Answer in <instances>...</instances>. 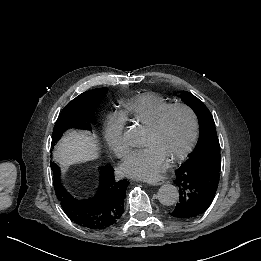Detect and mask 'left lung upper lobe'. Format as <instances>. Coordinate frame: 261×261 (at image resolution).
<instances>
[{
  "label": "left lung upper lobe",
  "mask_w": 261,
  "mask_h": 261,
  "mask_svg": "<svg viewBox=\"0 0 261 261\" xmlns=\"http://www.w3.org/2000/svg\"><path fill=\"white\" fill-rule=\"evenodd\" d=\"M180 97L194 110L200 125L198 143L194 151L188 155L183 166H212L220 169V145L213 116L208 108L193 94L182 91Z\"/></svg>",
  "instance_id": "obj_1"
}]
</instances>
